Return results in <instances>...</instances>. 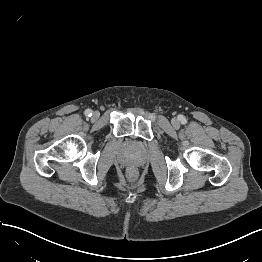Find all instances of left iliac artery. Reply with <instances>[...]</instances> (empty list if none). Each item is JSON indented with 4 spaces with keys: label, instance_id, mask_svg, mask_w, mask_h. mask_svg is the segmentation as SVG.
I'll return each mask as SVG.
<instances>
[{
    "label": "left iliac artery",
    "instance_id": "1",
    "mask_svg": "<svg viewBox=\"0 0 262 262\" xmlns=\"http://www.w3.org/2000/svg\"><path fill=\"white\" fill-rule=\"evenodd\" d=\"M180 120H181V122H182L183 124L186 123V120H185V118H184L183 116L180 117Z\"/></svg>",
    "mask_w": 262,
    "mask_h": 262
}]
</instances>
